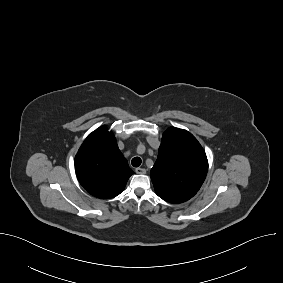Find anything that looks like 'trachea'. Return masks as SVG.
Returning a JSON list of instances; mask_svg holds the SVG:
<instances>
[{
    "label": "trachea",
    "instance_id": "1",
    "mask_svg": "<svg viewBox=\"0 0 283 283\" xmlns=\"http://www.w3.org/2000/svg\"><path fill=\"white\" fill-rule=\"evenodd\" d=\"M141 158L140 157H134L132 160H131V164L133 167H139L141 165Z\"/></svg>",
    "mask_w": 283,
    "mask_h": 283
}]
</instances>
